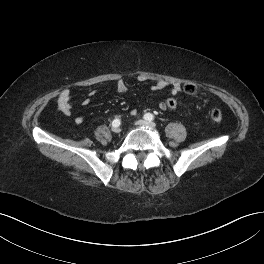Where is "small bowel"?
<instances>
[{"label": "small bowel", "mask_w": 264, "mask_h": 264, "mask_svg": "<svg viewBox=\"0 0 264 264\" xmlns=\"http://www.w3.org/2000/svg\"><path fill=\"white\" fill-rule=\"evenodd\" d=\"M138 80L143 82L146 80L144 76H139ZM116 89L119 93H125L127 92V84L123 79H118L116 81ZM153 91L157 90H163V89H169L171 95H177L181 92V85L179 83H173L166 80H158L156 83H154L151 87ZM90 95H94V91L90 93ZM90 103L89 98H85L82 101L83 105H88ZM58 106L61 111V113L65 116H70L72 111V105H71V92L68 89L63 90L59 97H58ZM159 108L161 110H166L165 105L162 103L159 104ZM84 121L82 116H77L74 118V122L76 124H82Z\"/></svg>", "instance_id": "1"}]
</instances>
